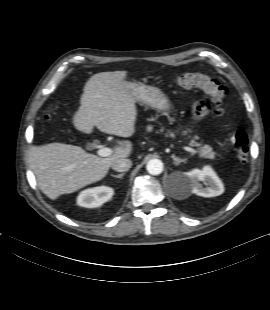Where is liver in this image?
Returning <instances> with one entry per match:
<instances>
[{"label":"liver","instance_id":"1","mask_svg":"<svg viewBox=\"0 0 270 310\" xmlns=\"http://www.w3.org/2000/svg\"><path fill=\"white\" fill-rule=\"evenodd\" d=\"M126 76V71L101 72L88 79L72 119L78 131L90 134L96 126L101 132L120 137L134 134L137 108ZM131 152L130 141L115 146L106 158L87 153L79 146L54 142L32 147L30 166L41 191L56 200L103 179L114 161Z\"/></svg>","mask_w":270,"mask_h":310}]
</instances>
